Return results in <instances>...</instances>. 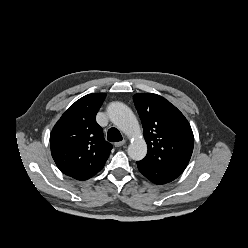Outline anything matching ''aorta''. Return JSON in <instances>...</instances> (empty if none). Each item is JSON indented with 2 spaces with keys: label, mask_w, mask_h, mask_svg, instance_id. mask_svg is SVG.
Wrapping results in <instances>:
<instances>
[{
  "label": "aorta",
  "mask_w": 248,
  "mask_h": 248,
  "mask_svg": "<svg viewBox=\"0 0 248 248\" xmlns=\"http://www.w3.org/2000/svg\"><path fill=\"white\" fill-rule=\"evenodd\" d=\"M107 114L111 122L132 139L127 150L129 157L135 161L142 160L147 153V144L131 109L122 102H112L107 107Z\"/></svg>",
  "instance_id": "1"
}]
</instances>
